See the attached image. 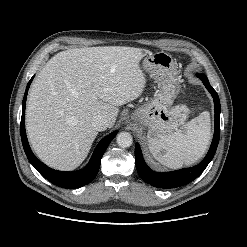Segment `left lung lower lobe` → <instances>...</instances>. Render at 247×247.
Wrapping results in <instances>:
<instances>
[{
    "mask_svg": "<svg viewBox=\"0 0 247 247\" xmlns=\"http://www.w3.org/2000/svg\"><path fill=\"white\" fill-rule=\"evenodd\" d=\"M213 97L215 105V129L210 149L205 158L196 166L184 168L173 172L158 173L152 171L145 163L138 143L135 144L136 169L143 181L158 188H176L186 185L196 179L207 167L215 155L220 138V101L217 92L209 84L204 74L198 75Z\"/></svg>",
    "mask_w": 247,
    "mask_h": 247,
    "instance_id": "0a47b994",
    "label": "left lung lower lobe"
}]
</instances>
